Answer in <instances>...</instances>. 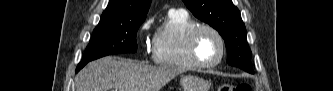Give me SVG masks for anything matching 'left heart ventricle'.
Segmentation results:
<instances>
[{
  "label": "left heart ventricle",
  "instance_id": "1",
  "mask_svg": "<svg viewBox=\"0 0 333 91\" xmlns=\"http://www.w3.org/2000/svg\"><path fill=\"white\" fill-rule=\"evenodd\" d=\"M197 55L205 63L217 60L220 54V43L210 31H202L197 38Z\"/></svg>",
  "mask_w": 333,
  "mask_h": 91
}]
</instances>
